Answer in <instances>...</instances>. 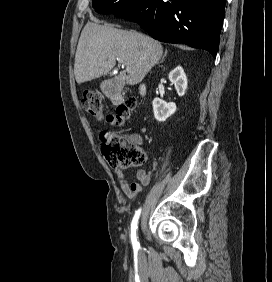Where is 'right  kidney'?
<instances>
[{"instance_id":"ca27d5eb","label":"right kidney","mask_w":272,"mask_h":282,"mask_svg":"<svg viewBox=\"0 0 272 282\" xmlns=\"http://www.w3.org/2000/svg\"><path fill=\"white\" fill-rule=\"evenodd\" d=\"M169 80L174 84L177 94L183 96L187 89V77L181 66L176 67L169 73ZM154 117L159 122L166 121L176 111V104L166 103L160 98H154L153 102Z\"/></svg>"}]
</instances>
